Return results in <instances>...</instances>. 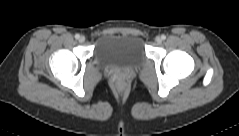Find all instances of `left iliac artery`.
Instances as JSON below:
<instances>
[{"label":"left iliac artery","instance_id":"left-iliac-artery-1","mask_svg":"<svg viewBox=\"0 0 239 136\" xmlns=\"http://www.w3.org/2000/svg\"><path fill=\"white\" fill-rule=\"evenodd\" d=\"M161 38H162L163 40H165V39H166V36L163 34V35L161 36Z\"/></svg>","mask_w":239,"mask_h":136}]
</instances>
